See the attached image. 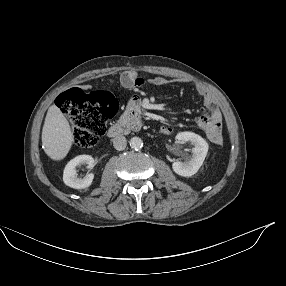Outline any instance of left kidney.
Segmentation results:
<instances>
[{"instance_id":"1","label":"left kidney","mask_w":286,"mask_h":286,"mask_svg":"<svg viewBox=\"0 0 286 286\" xmlns=\"http://www.w3.org/2000/svg\"><path fill=\"white\" fill-rule=\"evenodd\" d=\"M176 138L178 140L191 142L194 147L192 148V156L187 158L184 162H173L172 169L180 176L191 177L197 173L202 166L208 152V144L201 136L192 132H181Z\"/></svg>"}]
</instances>
